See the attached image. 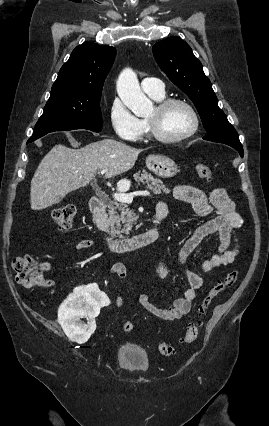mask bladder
<instances>
[{
	"label": "bladder",
	"instance_id": "31cf9c89",
	"mask_svg": "<svg viewBox=\"0 0 269 426\" xmlns=\"http://www.w3.org/2000/svg\"><path fill=\"white\" fill-rule=\"evenodd\" d=\"M119 363L127 369L146 371L149 367V358L146 351L137 344L124 342L116 353Z\"/></svg>",
	"mask_w": 269,
	"mask_h": 426
}]
</instances>
